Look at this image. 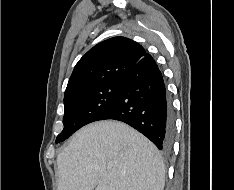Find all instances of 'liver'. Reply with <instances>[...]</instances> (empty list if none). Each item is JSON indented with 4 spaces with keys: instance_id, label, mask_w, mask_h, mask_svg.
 <instances>
[{
    "instance_id": "1",
    "label": "liver",
    "mask_w": 234,
    "mask_h": 190,
    "mask_svg": "<svg viewBox=\"0 0 234 190\" xmlns=\"http://www.w3.org/2000/svg\"><path fill=\"white\" fill-rule=\"evenodd\" d=\"M57 190H163L159 152L141 133L113 120L75 133L58 155Z\"/></svg>"
}]
</instances>
